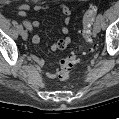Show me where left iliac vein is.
I'll return each instance as SVG.
<instances>
[{
  "label": "left iliac vein",
  "instance_id": "1",
  "mask_svg": "<svg viewBox=\"0 0 119 119\" xmlns=\"http://www.w3.org/2000/svg\"><path fill=\"white\" fill-rule=\"evenodd\" d=\"M93 32L95 34L100 32V21L99 20L95 21L94 26H93Z\"/></svg>",
  "mask_w": 119,
  "mask_h": 119
}]
</instances>
